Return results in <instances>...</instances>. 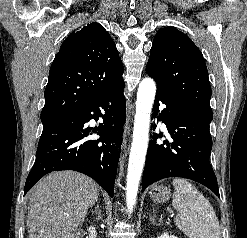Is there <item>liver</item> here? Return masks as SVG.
<instances>
[{
  "mask_svg": "<svg viewBox=\"0 0 247 238\" xmlns=\"http://www.w3.org/2000/svg\"><path fill=\"white\" fill-rule=\"evenodd\" d=\"M98 185L75 171L53 172L32 189L28 238H77L78 227L97 201Z\"/></svg>",
  "mask_w": 247,
  "mask_h": 238,
  "instance_id": "1",
  "label": "liver"
}]
</instances>
